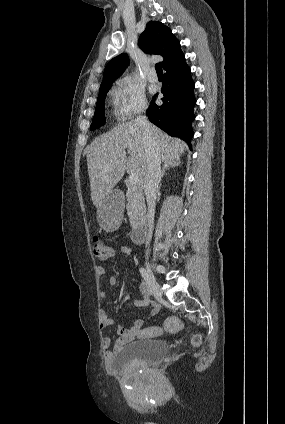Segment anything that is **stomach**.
Here are the masks:
<instances>
[{
  "label": "stomach",
  "mask_w": 285,
  "mask_h": 424,
  "mask_svg": "<svg viewBox=\"0 0 285 424\" xmlns=\"http://www.w3.org/2000/svg\"><path fill=\"white\" fill-rule=\"evenodd\" d=\"M123 213V198L111 192L97 207V221L105 231H114L119 227Z\"/></svg>",
  "instance_id": "1"
}]
</instances>
